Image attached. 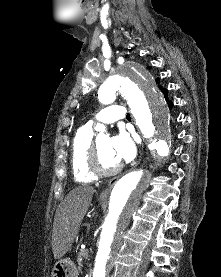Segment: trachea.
<instances>
[{"label": "trachea", "mask_w": 221, "mask_h": 277, "mask_svg": "<svg viewBox=\"0 0 221 277\" xmlns=\"http://www.w3.org/2000/svg\"><path fill=\"white\" fill-rule=\"evenodd\" d=\"M127 119H131L130 114L128 113L126 116Z\"/></svg>", "instance_id": "trachea-1"}]
</instances>
